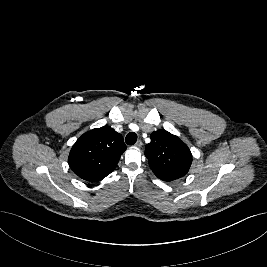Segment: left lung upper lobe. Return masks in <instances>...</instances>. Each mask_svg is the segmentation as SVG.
<instances>
[{
	"mask_svg": "<svg viewBox=\"0 0 267 267\" xmlns=\"http://www.w3.org/2000/svg\"><path fill=\"white\" fill-rule=\"evenodd\" d=\"M145 154L151 170L163 181L183 177L192 163V154L187 145L166 130L152 132Z\"/></svg>",
	"mask_w": 267,
	"mask_h": 267,
	"instance_id": "obj_1",
	"label": "left lung upper lobe"
}]
</instances>
